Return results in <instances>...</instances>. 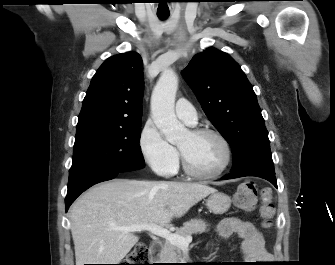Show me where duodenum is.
Returning <instances> with one entry per match:
<instances>
[{"instance_id":"duodenum-1","label":"duodenum","mask_w":335,"mask_h":265,"mask_svg":"<svg viewBox=\"0 0 335 265\" xmlns=\"http://www.w3.org/2000/svg\"><path fill=\"white\" fill-rule=\"evenodd\" d=\"M162 249V244L160 241H154L150 245V255H151V261L157 262L160 252Z\"/></svg>"}]
</instances>
